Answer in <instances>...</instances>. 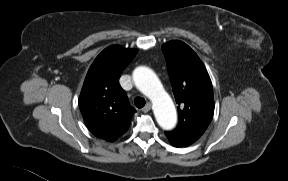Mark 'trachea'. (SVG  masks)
<instances>
[{"label": "trachea", "instance_id": "obj_1", "mask_svg": "<svg viewBox=\"0 0 288 181\" xmlns=\"http://www.w3.org/2000/svg\"><path fill=\"white\" fill-rule=\"evenodd\" d=\"M145 99L144 98H142V97H136L135 99H134V104H135V106L137 107V108H142V107H144L145 106Z\"/></svg>", "mask_w": 288, "mask_h": 181}]
</instances>
